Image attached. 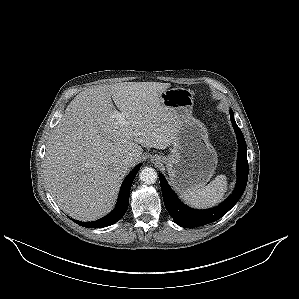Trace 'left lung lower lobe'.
<instances>
[{
	"mask_svg": "<svg viewBox=\"0 0 299 299\" xmlns=\"http://www.w3.org/2000/svg\"><path fill=\"white\" fill-rule=\"evenodd\" d=\"M230 119L236 133L238 141L237 157V185L232 193L224 202L215 208L207 210H195L183 203L177 198L162 174H159L161 190L165 207L174 221L184 228H195L214 222L225 215L242 196L248 179V161L247 148L244 136L237 126L233 112L230 111Z\"/></svg>",
	"mask_w": 299,
	"mask_h": 299,
	"instance_id": "left-lung-lower-lobe-1",
	"label": "left lung lower lobe"
}]
</instances>
